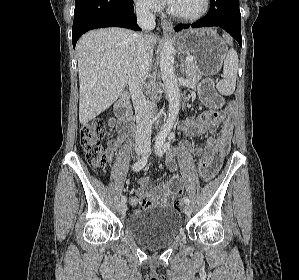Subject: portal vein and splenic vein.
Returning a JSON list of instances; mask_svg holds the SVG:
<instances>
[{"label":"portal vein and splenic vein","mask_w":299,"mask_h":280,"mask_svg":"<svg viewBox=\"0 0 299 280\" xmlns=\"http://www.w3.org/2000/svg\"><path fill=\"white\" fill-rule=\"evenodd\" d=\"M192 60H193V57H191V56L186 57V61H192Z\"/></svg>","instance_id":"18ae733b"}]
</instances>
